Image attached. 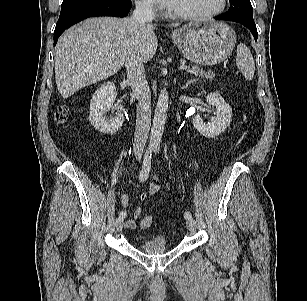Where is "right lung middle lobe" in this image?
I'll return each mask as SVG.
<instances>
[{"mask_svg":"<svg viewBox=\"0 0 307 301\" xmlns=\"http://www.w3.org/2000/svg\"><path fill=\"white\" fill-rule=\"evenodd\" d=\"M82 1H86V0H63L62 7L69 6V5H72V4H76V3L82 2Z\"/></svg>","mask_w":307,"mask_h":301,"instance_id":"1","label":"right lung middle lobe"}]
</instances>
